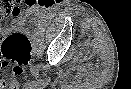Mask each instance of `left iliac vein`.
<instances>
[{
	"label": "left iliac vein",
	"mask_w": 131,
	"mask_h": 89,
	"mask_svg": "<svg viewBox=\"0 0 131 89\" xmlns=\"http://www.w3.org/2000/svg\"><path fill=\"white\" fill-rule=\"evenodd\" d=\"M41 52H42V50H41V48H39L38 53L41 54Z\"/></svg>",
	"instance_id": "1"
}]
</instances>
